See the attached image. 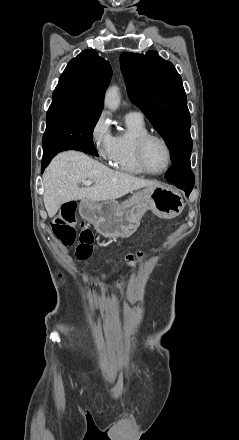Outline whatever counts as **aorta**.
<instances>
[{
	"label": "aorta",
	"mask_w": 239,
	"mask_h": 440,
	"mask_svg": "<svg viewBox=\"0 0 239 440\" xmlns=\"http://www.w3.org/2000/svg\"><path fill=\"white\" fill-rule=\"evenodd\" d=\"M120 102L121 98L119 94V88H117V86H112V88H108L104 100L106 108H109V110H117Z\"/></svg>",
	"instance_id": "aorta-1"
}]
</instances>
